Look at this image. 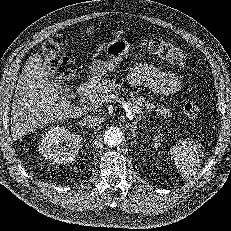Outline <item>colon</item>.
<instances>
[{"label":"colon","mask_w":231,"mask_h":231,"mask_svg":"<svg viewBox=\"0 0 231 231\" xmlns=\"http://www.w3.org/2000/svg\"><path fill=\"white\" fill-rule=\"evenodd\" d=\"M63 37L60 34L53 35L44 45L43 54L47 65L53 73L62 79H71L76 71L75 64L62 53ZM149 52L167 60L173 65L183 66L187 61L186 52L180 47L167 41L152 38L142 43ZM183 111L189 117L199 115L200 105L195 100H187L183 104Z\"/></svg>","instance_id":"colon-1"}]
</instances>
